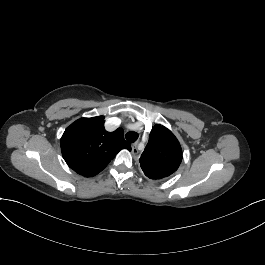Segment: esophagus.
Returning a JSON list of instances; mask_svg holds the SVG:
<instances>
[{
    "mask_svg": "<svg viewBox=\"0 0 265 265\" xmlns=\"http://www.w3.org/2000/svg\"><path fill=\"white\" fill-rule=\"evenodd\" d=\"M138 142L132 144V154H138Z\"/></svg>",
    "mask_w": 265,
    "mask_h": 265,
    "instance_id": "obj_1",
    "label": "esophagus"
}]
</instances>
